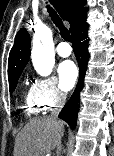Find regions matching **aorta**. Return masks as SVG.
Returning <instances> with one entry per match:
<instances>
[{
    "mask_svg": "<svg viewBox=\"0 0 114 156\" xmlns=\"http://www.w3.org/2000/svg\"><path fill=\"white\" fill-rule=\"evenodd\" d=\"M31 58L38 74L41 76L51 74L55 64V53L52 31L45 25L38 26L35 29Z\"/></svg>",
    "mask_w": 114,
    "mask_h": 156,
    "instance_id": "aorta-1",
    "label": "aorta"
}]
</instances>
